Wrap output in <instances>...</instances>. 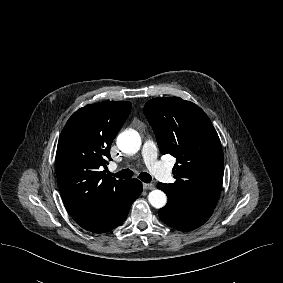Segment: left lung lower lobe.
Returning a JSON list of instances; mask_svg holds the SVG:
<instances>
[{"instance_id":"left-lung-lower-lobe-1","label":"left lung lower lobe","mask_w":283,"mask_h":283,"mask_svg":"<svg viewBox=\"0 0 283 283\" xmlns=\"http://www.w3.org/2000/svg\"><path fill=\"white\" fill-rule=\"evenodd\" d=\"M157 187L168 196V203L158 211L160 219L170 227L180 231H191L204 224L213 210L194 204L179 192H171L166 184L158 183Z\"/></svg>"}]
</instances>
